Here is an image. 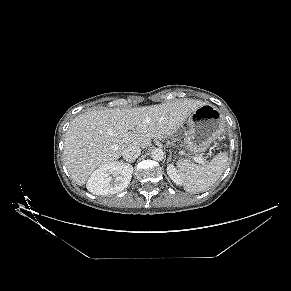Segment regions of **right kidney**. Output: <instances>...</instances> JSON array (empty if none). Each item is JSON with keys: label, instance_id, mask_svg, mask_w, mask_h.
<instances>
[{"label": "right kidney", "instance_id": "1", "mask_svg": "<svg viewBox=\"0 0 291 291\" xmlns=\"http://www.w3.org/2000/svg\"><path fill=\"white\" fill-rule=\"evenodd\" d=\"M132 172L133 168L129 164L111 162L96 169L90 175L86 187L88 191L96 195L115 194L129 185Z\"/></svg>", "mask_w": 291, "mask_h": 291}]
</instances>
